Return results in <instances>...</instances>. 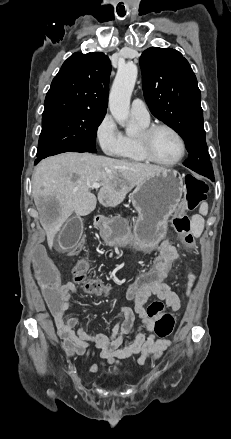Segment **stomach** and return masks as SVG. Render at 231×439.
<instances>
[{"mask_svg":"<svg viewBox=\"0 0 231 439\" xmlns=\"http://www.w3.org/2000/svg\"><path fill=\"white\" fill-rule=\"evenodd\" d=\"M183 178L175 170L165 169L138 184L130 195V200L138 217L133 230L128 222L112 217L100 225L104 242L109 246H133L136 250H154L167 232L170 216L174 213L182 197Z\"/></svg>","mask_w":231,"mask_h":439,"instance_id":"1","label":"stomach"}]
</instances>
